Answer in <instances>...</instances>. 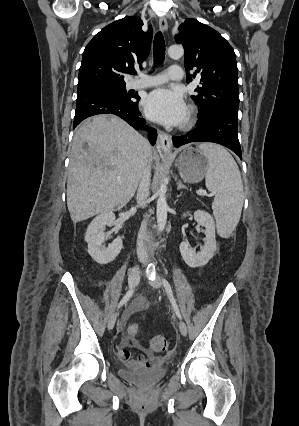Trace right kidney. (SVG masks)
Masks as SVG:
<instances>
[{
	"label": "right kidney",
	"instance_id": "ca27d5eb",
	"mask_svg": "<svg viewBox=\"0 0 299 426\" xmlns=\"http://www.w3.org/2000/svg\"><path fill=\"white\" fill-rule=\"evenodd\" d=\"M114 221L113 212L101 213L92 220L86 230L85 241L88 244V253L99 264L112 262L123 248L122 237L115 239L107 248L102 245L105 240L104 229L106 226H111Z\"/></svg>",
	"mask_w": 299,
	"mask_h": 426
}]
</instances>
